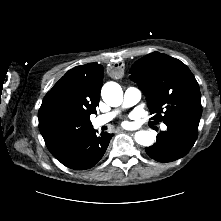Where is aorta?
<instances>
[{
    "instance_id": "obj_1",
    "label": "aorta",
    "mask_w": 221,
    "mask_h": 221,
    "mask_svg": "<svg viewBox=\"0 0 221 221\" xmlns=\"http://www.w3.org/2000/svg\"><path fill=\"white\" fill-rule=\"evenodd\" d=\"M103 101L112 107L119 106L123 101V91L116 82H107L101 91ZM135 141L143 146H150L154 143V134L147 130H140L135 133Z\"/></svg>"
}]
</instances>
